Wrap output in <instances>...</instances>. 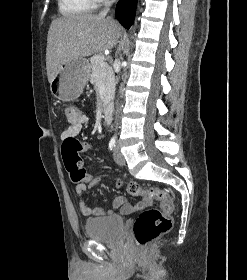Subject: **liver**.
<instances>
[{"label":"liver","mask_w":247,"mask_h":280,"mask_svg":"<svg viewBox=\"0 0 247 280\" xmlns=\"http://www.w3.org/2000/svg\"><path fill=\"white\" fill-rule=\"evenodd\" d=\"M121 35V26L105 15H71L52 21L46 48L49 83L60 67L74 58H84L113 48Z\"/></svg>","instance_id":"obj_1"}]
</instances>
